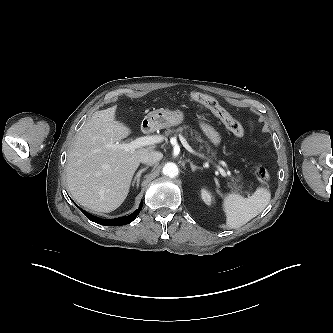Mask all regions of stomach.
Wrapping results in <instances>:
<instances>
[{
	"instance_id": "obj_1",
	"label": "stomach",
	"mask_w": 333,
	"mask_h": 333,
	"mask_svg": "<svg viewBox=\"0 0 333 333\" xmlns=\"http://www.w3.org/2000/svg\"><path fill=\"white\" fill-rule=\"evenodd\" d=\"M184 118L185 112L183 110L157 109L150 112L145 117V121L153 129H163L180 125ZM199 127L213 145H220L222 137L213 126L201 121L199 122Z\"/></svg>"
}]
</instances>
